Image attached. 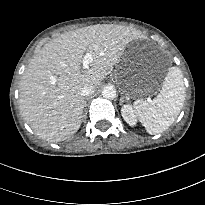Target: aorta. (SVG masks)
<instances>
[{"label": "aorta", "mask_w": 205, "mask_h": 205, "mask_svg": "<svg viewBox=\"0 0 205 205\" xmlns=\"http://www.w3.org/2000/svg\"><path fill=\"white\" fill-rule=\"evenodd\" d=\"M102 96L106 99H114L116 97V89L112 85H107L102 90Z\"/></svg>", "instance_id": "obj_1"}]
</instances>
